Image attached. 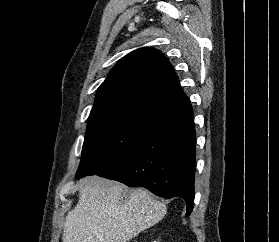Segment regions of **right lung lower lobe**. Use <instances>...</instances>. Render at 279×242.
Here are the masks:
<instances>
[{"label":"right lung lower lobe","mask_w":279,"mask_h":242,"mask_svg":"<svg viewBox=\"0 0 279 242\" xmlns=\"http://www.w3.org/2000/svg\"><path fill=\"white\" fill-rule=\"evenodd\" d=\"M195 135L190 103L166 111L149 137L97 175L166 199L181 197L189 216L195 195Z\"/></svg>","instance_id":"98d812e1"}]
</instances>
